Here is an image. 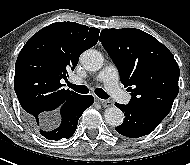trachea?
<instances>
[{"label": "trachea", "instance_id": "trachea-1", "mask_svg": "<svg viewBox=\"0 0 190 165\" xmlns=\"http://www.w3.org/2000/svg\"><path fill=\"white\" fill-rule=\"evenodd\" d=\"M67 84L75 92H78L81 94H87L89 92L88 87L85 85H75V84H71L70 82H67ZM95 94L101 99H108L109 98V95L101 88H96Z\"/></svg>", "mask_w": 190, "mask_h": 165}]
</instances>
